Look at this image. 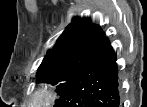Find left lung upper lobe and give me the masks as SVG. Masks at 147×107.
<instances>
[{
	"mask_svg": "<svg viewBox=\"0 0 147 107\" xmlns=\"http://www.w3.org/2000/svg\"><path fill=\"white\" fill-rule=\"evenodd\" d=\"M104 39L105 33L99 25L92 24L90 19L74 18L45 55L36 82L57 84L56 91L61 94Z\"/></svg>",
	"mask_w": 147,
	"mask_h": 107,
	"instance_id": "5c2ea615",
	"label": "left lung upper lobe"
}]
</instances>
